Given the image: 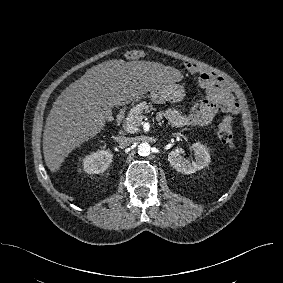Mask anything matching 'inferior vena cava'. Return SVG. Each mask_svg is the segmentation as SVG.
Returning <instances> with one entry per match:
<instances>
[{"mask_svg": "<svg viewBox=\"0 0 283 283\" xmlns=\"http://www.w3.org/2000/svg\"><path fill=\"white\" fill-rule=\"evenodd\" d=\"M116 140L122 147H127L131 143V138L126 136H118Z\"/></svg>", "mask_w": 283, "mask_h": 283, "instance_id": "1", "label": "inferior vena cava"}]
</instances>
